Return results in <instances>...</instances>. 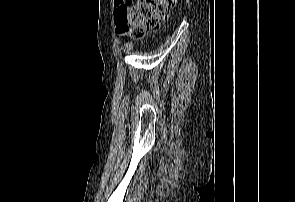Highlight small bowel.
<instances>
[{
	"mask_svg": "<svg viewBox=\"0 0 295 202\" xmlns=\"http://www.w3.org/2000/svg\"><path fill=\"white\" fill-rule=\"evenodd\" d=\"M126 4H127V0H114V6L117 11H120L123 8H125Z\"/></svg>",
	"mask_w": 295,
	"mask_h": 202,
	"instance_id": "c3829d8e",
	"label": "small bowel"
}]
</instances>
